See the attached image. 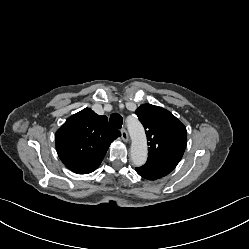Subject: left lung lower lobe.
<instances>
[{
  "mask_svg": "<svg viewBox=\"0 0 249 249\" xmlns=\"http://www.w3.org/2000/svg\"><path fill=\"white\" fill-rule=\"evenodd\" d=\"M136 172L143 178L145 179H148V180H156V179H159L158 177L156 176H153L151 174H148L144 171H142L140 168H136Z\"/></svg>",
  "mask_w": 249,
  "mask_h": 249,
  "instance_id": "obj_1",
  "label": "left lung lower lobe"
}]
</instances>
